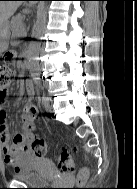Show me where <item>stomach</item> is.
<instances>
[{
  "label": "stomach",
  "mask_w": 137,
  "mask_h": 189,
  "mask_svg": "<svg viewBox=\"0 0 137 189\" xmlns=\"http://www.w3.org/2000/svg\"><path fill=\"white\" fill-rule=\"evenodd\" d=\"M8 23H6L0 29V52H2L7 47V40L9 38V28Z\"/></svg>",
  "instance_id": "1"
}]
</instances>
